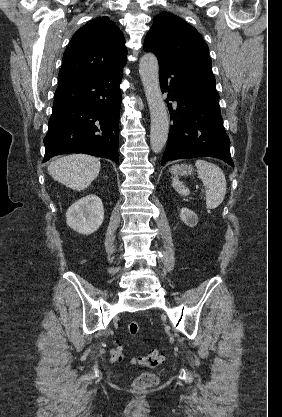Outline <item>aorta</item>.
<instances>
[{
    "label": "aorta",
    "mask_w": 282,
    "mask_h": 417,
    "mask_svg": "<svg viewBox=\"0 0 282 417\" xmlns=\"http://www.w3.org/2000/svg\"><path fill=\"white\" fill-rule=\"evenodd\" d=\"M139 72L151 116V148L154 152H161L168 138L169 118L160 88L159 64L153 52L141 56Z\"/></svg>",
    "instance_id": "obj_1"
}]
</instances>
